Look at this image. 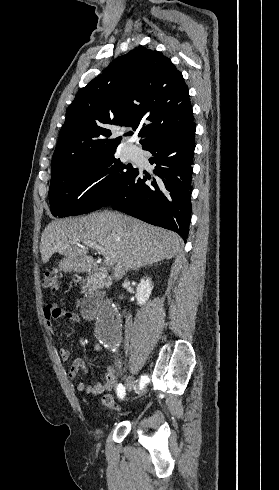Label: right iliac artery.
Here are the masks:
<instances>
[{"instance_id": "right-iliac-artery-1", "label": "right iliac artery", "mask_w": 279, "mask_h": 490, "mask_svg": "<svg viewBox=\"0 0 279 490\" xmlns=\"http://www.w3.org/2000/svg\"><path fill=\"white\" fill-rule=\"evenodd\" d=\"M116 390H117L118 397L123 399L125 396V387L122 384H118Z\"/></svg>"}]
</instances>
